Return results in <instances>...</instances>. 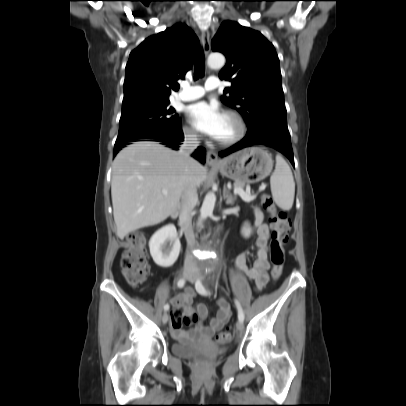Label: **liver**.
Here are the masks:
<instances>
[{
  "label": "liver",
  "instance_id": "obj_1",
  "mask_svg": "<svg viewBox=\"0 0 406 406\" xmlns=\"http://www.w3.org/2000/svg\"><path fill=\"white\" fill-rule=\"evenodd\" d=\"M186 166L179 152L152 141L135 142L118 153L112 164L111 196L121 240L171 215L187 188ZM193 172L196 188L200 187L206 167L195 161Z\"/></svg>",
  "mask_w": 406,
  "mask_h": 406
}]
</instances>
